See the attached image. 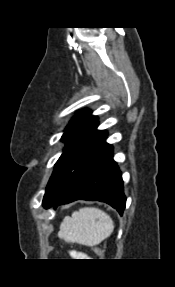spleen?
<instances>
[{"label":"spleen","instance_id":"spleen-1","mask_svg":"<svg viewBox=\"0 0 175 287\" xmlns=\"http://www.w3.org/2000/svg\"><path fill=\"white\" fill-rule=\"evenodd\" d=\"M113 228V221L106 212L85 207L63 219L58 236L68 243L95 246L109 237Z\"/></svg>","mask_w":175,"mask_h":287}]
</instances>
